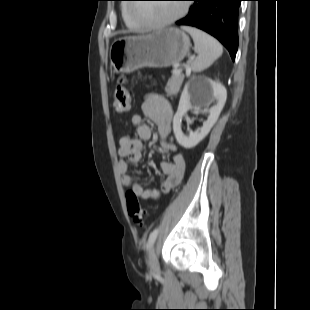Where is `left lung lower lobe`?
Listing matches in <instances>:
<instances>
[{
    "instance_id": "left-lung-lower-lobe-1",
    "label": "left lung lower lobe",
    "mask_w": 310,
    "mask_h": 310,
    "mask_svg": "<svg viewBox=\"0 0 310 310\" xmlns=\"http://www.w3.org/2000/svg\"><path fill=\"white\" fill-rule=\"evenodd\" d=\"M194 1L188 16L177 25L197 27L217 38L229 51L232 60L238 49L237 22L243 0H190Z\"/></svg>"
}]
</instances>
